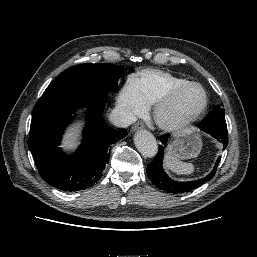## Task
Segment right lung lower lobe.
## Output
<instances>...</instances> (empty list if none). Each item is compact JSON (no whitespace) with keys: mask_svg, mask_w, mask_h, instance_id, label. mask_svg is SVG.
I'll list each match as a JSON object with an SVG mask.
<instances>
[{"mask_svg":"<svg viewBox=\"0 0 257 257\" xmlns=\"http://www.w3.org/2000/svg\"><path fill=\"white\" fill-rule=\"evenodd\" d=\"M107 92L97 90H64L42 95L36 103L29 135V149L41 177L63 191H79L92 186L102 177L109 162L110 144L126 136L107 126L101 118ZM90 112L82 144L72 156L58 147L71 113L78 107Z\"/></svg>","mask_w":257,"mask_h":257,"instance_id":"right-lung-lower-lobe-1","label":"right lung lower lobe"}]
</instances>
